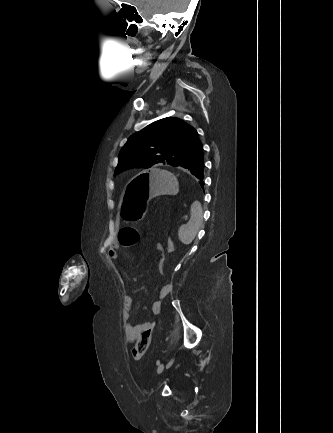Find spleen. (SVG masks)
<instances>
[{
    "instance_id": "1",
    "label": "spleen",
    "mask_w": 333,
    "mask_h": 433,
    "mask_svg": "<svg viewBox=\"0 0 333 433\" xmlns=\"http://www.w3.org/2000/svg\"><path fill=\"white\" fill-rule=\"evenodd\" d=\"M176 193L178 192H171V194H176ZM202 221L203 219H202L201 205L198 202H194L191 206L190 220L179 228L178 231L179 240L183 244H190L194 240L202 224Z\"/></svg>"
}]
</instances>
